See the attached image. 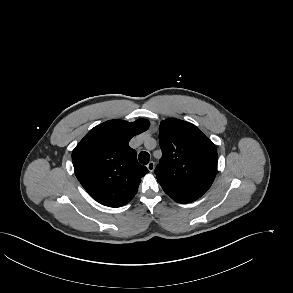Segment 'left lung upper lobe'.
Masks as SVG:
<instances>
[{"label": "left lung upper lobe", "instance_id": "left-lung-upper-lobe-1", "mask_svg": "<svg viewBox=\"0 0 293 293\" xmlns=\"http://www.w3.org/2000/svg\"><path fill=\"white\" fill-rule=\"evenodd\" d=\"M162 157L155 169L167 195L179 203L200 198L217 174V149L195 125L175 118L161 121Z\"/></svg>", "mask_w": 293, "mask_h": 293}]
</instances>
